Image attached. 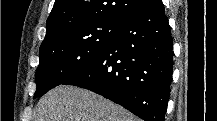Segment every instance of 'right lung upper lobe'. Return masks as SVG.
Returning <instances> with one entry per match:
<instances>
[{
    "label": "right lung upper lobe",
    "mask_w": 217,
    "mask_h": 121,
    "mask_svg": "<svg viewBox=\"0 0 217 121\" xmlns=\"http://www.w3.org/2000/svg\"><path fill=\"white\" fill-rule=\"evenodd\" d=\"M151 0H56L46 23V36L41 46L48 44L74 28L100 22H123Z\"/></svg>",
    "instance_id": "obj_1"
}]
</instances>
